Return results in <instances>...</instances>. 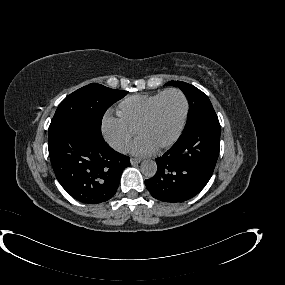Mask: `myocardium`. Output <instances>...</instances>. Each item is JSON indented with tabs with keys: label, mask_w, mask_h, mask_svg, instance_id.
I'll return each instance as SVG.
<instances>
[{
	"label": "myocardium",
	"mask_w": 285,
	"mask_h": 285,
	"mask_svg": "<svg viewBox=\"0 0 285 285\" xmlns=\"http://www.w3.org/2000/svg\"><path fill=\"white\" fill-rule=\"evenodd\" d=\"M171 93H177V94H179L183 98V101H184V113H183L180 125H179L176 133L174 134V136L167 143L157 147V151H163V150L169 149L181 137V135H182V133L184 131L187 119H188L189 108H190L189 100H188V97L186 96V94L182 90L177 89V88H172V89L165 90L160 95V97L155 101V103L151 107L149 113L147 114V116L141 122V124L139 125V127L137 129V133L139 135V133L142 130V128L145 127L147 124H149L150 121L153 119V117H154V115H155V113L157 111V108L159 107V105H160L161 101L164 99V97L167 96L168 94H171Z\"/></svg>",
	"instance_id": "obj_1"
}]
</instances>
